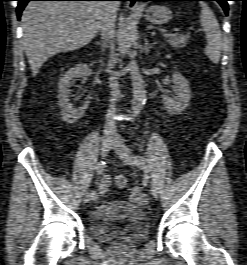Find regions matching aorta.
Wrapping results in <instances>:
<instances>
[{"instance_id": "762f6f07", "label": "aorta", "mask_w": 247, "mask_h": 265, "mask_svg": "<svg viewBox=\"0 0 247 265\" xmlns=\"http://www.w3.org/2000/svg\"><path fill=\"white\" fill-rule=\"evenodd\" d=\"M124 43L128 44L131 41V33L128 30V24L124 28ZM127 53L130 58L128 64V70L130 72L131 83H132V112L134 115H138L143 109L144 104L147 100V92L145 87V82L140 73L137 61L134 55L130 53L129 48H127Z\"/></svg>"}]
</instances>
